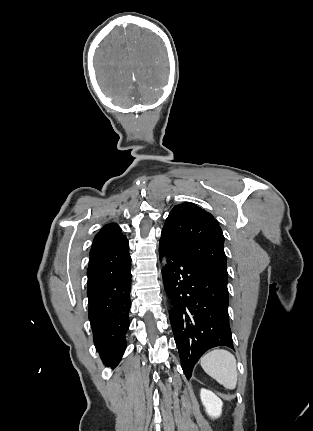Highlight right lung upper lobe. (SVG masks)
Listing matches in <instances>:
<instances>
[{
    "mask_svg": "<svg viewBox=\"0 0 313 431\" xmlns=\"http://www.w3.org/2000/svg\"><path fill=\"white\" fill-rule=\"evenodd\" d=\"M127 240L121 233V228L116 223H110L105 225L95 236L90 256L99 253L113 245Z\"/></svg>",
    "mask_w": 313,
    "mask_h": 431,
    "instance_id": "right-lung-upper-lobe-1",
    "label": "right lung upper lobe"
}]
</instances>
